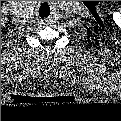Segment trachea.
<instances>
[{
  "mask_svg": "<svg viewBox=\"0 0 121 121\" xmlns=\"http://www.w3.org/2000/svg\"><path fill=\"white\" fill-rule=\"evenodd\" d=\"M51 14L50 6L48 3L44 2L39 8V15L42 18H47Z\"/></svg>",
  "mask_w": 121,
  "mask_h": 121,
  "instance_id": "trachea-1",
  "label": "trachea"
}]
</instances>
